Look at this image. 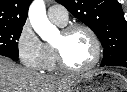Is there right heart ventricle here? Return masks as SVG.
I'll list each match as a JSON object with an SVG mask.
<instances>
[{
	"label": "right heart ventricle",
	"mask_w": 127,
	"mask_h": 92,
	"mask_svg": "<svg viewBox=\"0 0 127 92\" xmlns=\"http://www.w3.org/2000/svg\"><path fill=\"white\" fill-rule=\"evenodd\" d=\"M52 21L59 26H65V24H66V23H60V22H57L54 20H52ZM45 48H46V52H47V59H46V63H45L43 70L55 71V70H57L58 67L56 64L52 46L50 44H45Z\"/></svg>",
	"instance_id": "1"
}]
</instances>
